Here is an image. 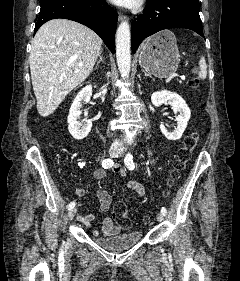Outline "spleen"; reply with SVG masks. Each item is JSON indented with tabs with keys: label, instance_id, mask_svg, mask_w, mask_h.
<instances>
[{
	"label": "spleen",
	"instance_id": "spleen-1",
	"mask_svg": "<svg viewBox=\"0 0 240 281\" xmlns=\"http://www.w3.org/2000/svg\"><path fill=\"white\" fill-rule=\"evenodd\" d=\"M199 78L205 79L207 76V65L205 58L202 56L199 61V73H198Z\"/></svg>",
	"mask_w": 240,
	"mask_h": 281
}]
</instances>
